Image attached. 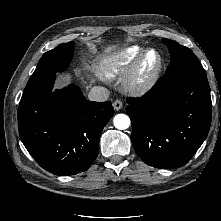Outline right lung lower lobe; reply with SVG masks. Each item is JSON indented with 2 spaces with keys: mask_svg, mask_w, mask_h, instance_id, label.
I'll return each instance as SVG.
<instances>
[{
  "mask_svg": "<svg viewBox=\"0 0 221 221\" xmlns=\"http://www.w3.org/2000/svg\"><path fill=\"white\" fill-rule=\"evenodd\" d=\"M55 70L32 74L18 109L20 138L36 162L60 176L87 170L114 114L107 102L87 101L77 86L52 92Z\"/></svg>",
  "mask_w": 221,
  "mask_h": 221,
  "instance_id": "98d812e1",
  "label": "right lung lower lobe"
}]
</instances>
